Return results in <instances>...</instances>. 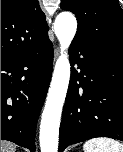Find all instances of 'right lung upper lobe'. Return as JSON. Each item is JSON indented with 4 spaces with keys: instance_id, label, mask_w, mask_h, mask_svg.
<instances>
[{
    "instance_id": "right-lung-upper-lobe-1",
    "label": "right lung upper lobe",
    "mask_w": 123,
    "mask_h": 152,
    "mask_svg": "<svg viewBox=\"0 0 123 152\" xmlns=\"http://www.w3.org/2000/svg\"><path fill=\"white\" fill-rule=\"evenodd\" d=\"M48 36L38 0H1V58L25 53Z\"/></svg>"
}]
</instances>
